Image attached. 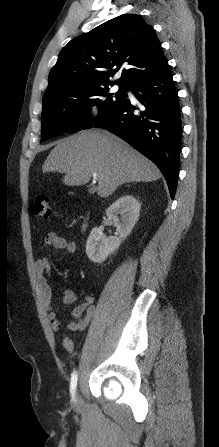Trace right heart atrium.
Wrapping results in <instances>:
<instances>
[{"mask_svg": "<svg viewBox=\"0 0 219 447\" xmlns=\"http://www.w3.org/2000/svg\"><path fill=\"white\" fill-rule=\"evenodd\" d=\"M101 113L98 108L96 107H89L85 111V117L89 120H96L100 117Z\"/></svg>", "mask_w": 219, "mask_h": 447, "instance_id": "1", "label": "right heart atrium"}]
</instances>
